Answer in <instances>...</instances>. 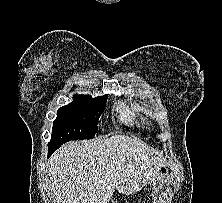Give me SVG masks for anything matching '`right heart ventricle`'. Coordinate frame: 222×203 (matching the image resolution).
<instances>
[{
    "label": "right heart ventricle",
    "mask_w": 222,
    "mask_h": 203,
    "mask_svg": "<svg viewBox=\"0 0 222 203\" xmlns=\"http://www.w3.org/2000/svg\"><path fill=\"white\" fill-rule=\"evenodd\" d=\"M118 113L121 119L124 120L126 123L130 125H133L135 123V114L126 107L120 106L118 108Z\"/></svg>",
    "instance_id": "1"
}]
</instances>
